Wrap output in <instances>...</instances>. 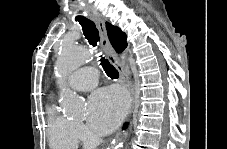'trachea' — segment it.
Returning <instances> with one entry per match:
<instances>
[{
  "label": "trachea",
  "instance_id": "trachea-1",
  "mask_svg": "<svg viewBox=\"0 0 227 149\" xmlns=\"http://www.w3.org/2000/svg\"><path fill=\"white\" fill-rule=\"evenodd\" d=\"M77 21L82 26L83 34L88 40L89 44L95 47L100 41L99 32L96 28L95 23L89 19H79ZM100 61L108 77H110L111 79H117L119 77V72L113 65L109 63L107 59H105V57L101 56Z\"/></svg>",
  "mask_w": 227,
  "mask_h": 149
}]
</instances>
